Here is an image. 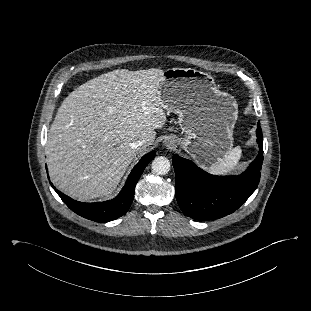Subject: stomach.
Instances as JSON below:
<instances>
[{"instance_id":"stomach-1","label":"stomach","mask_w":311,"mask_h":311,"mask_svg":"<svg viewBox=\"0 0 311 311\" xmlns=\"http://www.w3.org/2000/svg\"><path fill=\"white\" fill-rule=\"evenodd\" d=\"M158 89L162 107L178 115L185 133L178 143L201 167L210 168L231 151L238 105L211 75L192 68L167 69Z\"/></svg>"}]
</instances>
